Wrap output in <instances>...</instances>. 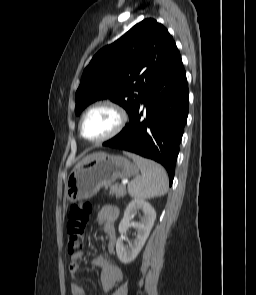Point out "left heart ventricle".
<instances>
[{"label": "left heart ventricle", "mask_w": 256, "mask_h": 295, "mask_svg": "<svg viewBox=\"0 0 256 295\" xmlns=\"http://www.w3.org/2000/svg\"><path fill=\"white\" fill-rule=\"evenodd\" d=\"M117 123L113 110L100 107L90 112L83 123V134L88 139H99L110 133Z\"/></svg>", "instance_id": "1"}]
</instances>
